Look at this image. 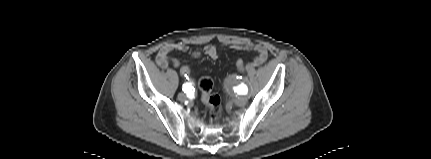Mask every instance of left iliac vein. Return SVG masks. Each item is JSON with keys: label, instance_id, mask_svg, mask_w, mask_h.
Returning <instances> with one entry per match:
<instances>
[{"label": "left iliac vein", "instance_id": "obj_1", "mask_svg": "<svg viewBox=\"0 0 431 159\" xmlns=\"http://www.w3.org/2000/svg\"><path fill=\"white\" fill-rule=\"evenodd\" d=\"M245 102H246V97L241 96V97H239V98L237 99V104H238V105H244V104H245Z\"/></svg>", "mask_w": 431, "mask_h": 159}]
</instances>
